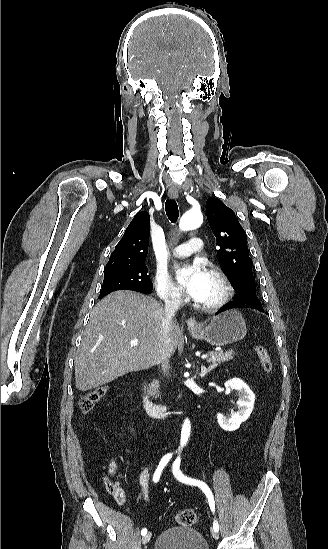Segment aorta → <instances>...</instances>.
<instances>
[{
  "mask_svg": "<svg viewBox=\"0 0 328 549\" xmlns=\"http://www.w3.org/2000/svg\"><path fill=\"white\" fill-rule=\"evenodd\" d=\"M203 222V216L200 211L190 210L183 214L179 222V228L182 231H190L198 228ZM191 425L189 419H185L182 431L180 446L183 447L189 438Z\"/></svg>",
  "mask_w": 328,
  "mask_h": 549,
  "instance_id": "1",
  "label": "aorta"
}]
</instances>
